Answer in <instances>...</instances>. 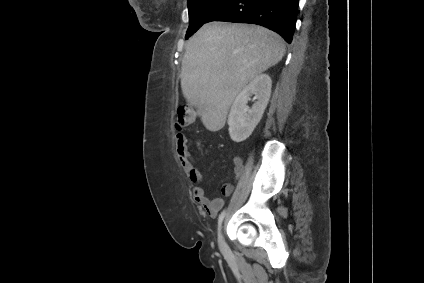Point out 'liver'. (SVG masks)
<instances>
[{
  "label": "liver",
  "instance_id": "obj_1",
  "mask_svg": "<svg viewBox=\"0 0 424 283\" xmlns=\"http://www.w3.org/2000/svg\"><path fill=\"white\" fill-rule=\"evenodd\" d=\"M280 35L255 24L211 22L188 41L181 88L210 131L225 125L239 92L284 56Z\"/></svg>",
  "mask_w": 424,
  "mask_h": 283
}]
</instances>
